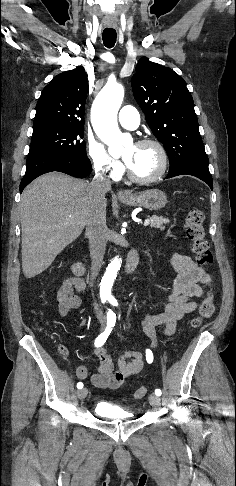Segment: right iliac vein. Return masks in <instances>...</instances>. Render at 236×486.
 <instances>
[{
  "label": "right iliac vein",
  "instance_id": "1",
  "mask_svg": "<svg viewBox=\"0 0 236 486\" xmlns=\"http://www.w3.org/2000/svg\"><path fill=\"white\" fill-rule=\"evenodd\" d=\"M103 325H104V321L102 320V321H101V326H103ZM87 393H88L87 388H83V389L79 390V391L77 392L78 398H79L80 400H84V399L86 398V396H87Z\"/></svg>",
  "mask_w": 236,
  "mask_h": 486
}]
</instances>
